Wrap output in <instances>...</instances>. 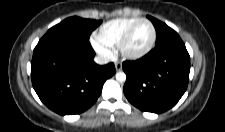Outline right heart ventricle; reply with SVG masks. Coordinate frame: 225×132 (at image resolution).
<instances>
[{"label": "right heart ventricle", "instance_id": "1", "mask_svg": "<svg viewBox=\"0 0 225 132\" xmlns=\"http://www.w3.org/2000/svg\"><path fill=\"white\" fill-rule=\"evenodd\" d=\"M137 20L138 18H117L110 20L99 28L96 39L108 48L118 46L125 31Z\"/></svg>", "mask_w": 225, "mask_h": 132}]
</instances>
